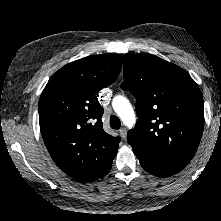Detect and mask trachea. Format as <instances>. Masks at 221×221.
Returning a JSON list of instances; mask_svg holds the SVG:
<instances>
[{"mask_svg": "<svg viewBox=\"0 0 221 221\" xmlns=\"http://www.w3.org/2000/svg\"><path fill=\"white\" fill-rule=\"evenodd\" d=\"M110 127L112 129H120L121 127V122H120V119L117 117V116H111L110 117Z\"/></svg>", "mask_w": 221, "mask_h": 221, "instance_id": "1", "label": "trachea"}]
</instances>
